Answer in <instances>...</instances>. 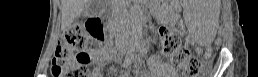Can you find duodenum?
Here are the masks:
<instances>
[{
  "label": "duodenum",
  "instance_id": "duodenum-1",
  "mask_svg": "<svg viewBox=\"0 0 258 77\" xmlns=\"http://www.w3.org/2000/svg\"><path fill=\"white\" fill-rule=\"evenodd\" d=\"M86 26H87V30L88 32L91 34V35H95L97 33V31L99 30L100 28V21L98 19H89L87 22H86ZM102 27V26H101ZM116 49L119 50V47L117 45V42H116Z\"/></svg>",
  "mask_w": 258,
  "mask_h": 77
}]
</instances>
